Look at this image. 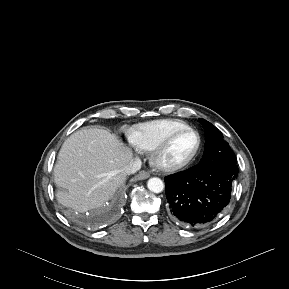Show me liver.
<instances>
[{"label": "liver", "mask_w": 289, "mask_h": 289, "mask_svg": "<svg viewBox=\"0 0 289 289\" xmlns=\"http://www.w3.org/2000/svg\"><path fill=\"white\" fill-rule=\"evenodd\" d=\"M132 151L110 132L89 128L70 135L63 143L54 167V181L63 191L59 203L79 212L108 201L125 182L123 169Z\"/></svg>", "instance_id": "liver-1"}]
</instances>
